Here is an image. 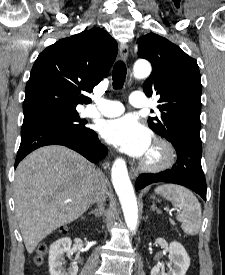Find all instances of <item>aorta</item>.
Returning a JSON list of instances; mask_svg holds the SVG:
<instances>
[{"mask_svg":"<svg viewBox=\"0 0 225 275\" xmlns=\"http://www.w3.org/2000/svg\"><path fill=\"white\" fill-rule=\"evenodd\" d=\"M151 73V65L147 61H138L133 68L135 78H145ZM112 183L119 197L124 218L128 228L135 231L138 222L137 200L131 184L126 162L122 158H117L111 171Z\"/></svg>","mask_w":225,"mask_h":275,"instance_id":"1","label":"aorta"}]
</instances>
